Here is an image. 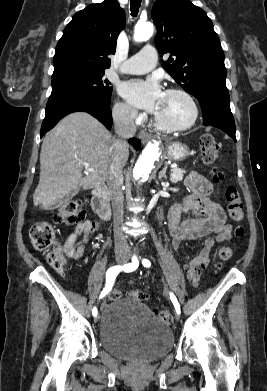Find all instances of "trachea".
I'll use <instances>...</instances> for the list:
<instances>
[{"instance_id":"1","label":"trachea","mask_w":267,"mask_h":391,"mask_svg":"<svg viewBox=\"0 0 267 391\" xmlns=\"http://www.w3.org/2000/svg\"><path fill=\"white\" fill-rule=\"evenodd\" d=\"M140 5H141V0H131L130 10H131V15L133 17L137 16V14L139 12Z\"/></svg>"}]
</instances>
